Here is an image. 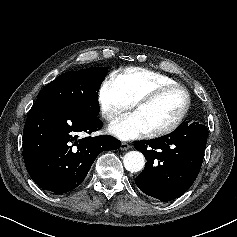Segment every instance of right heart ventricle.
<instances>
[{
  "mask_svg": "<svg viewBox=\"0 0 237 237\" xmlns=\"http://www.w3.org/2000/svg\"><path fill=\"white\" fill-rule=\"evenodd\" d=\"M112 77L131 104L158 86L176 83L174 79L165 74L137 67L116 72Z\"/></svg>",
  "mask_w": 237,
  "mask_h": 237,
  "instance_id": "e07e8e85",
  "label": "right heart ventricle"
}]
</instances>
